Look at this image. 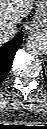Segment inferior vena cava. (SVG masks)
Returning a JSON list of instances; mask_svg holds the SVG:
<instances>
[{"label":"inferior vena cava","mask_w":47,"mask_h":129,"mask_svg":"<svg viewBox=\"0 0 47 129\" xmlns=\"http://www.w3.org/2000/svg\"><path fill=\"white\" fill-rule=\"evenodd\" d=\"M16 34V29L13 27H7V28H1L0 31V40L1 41H8L10 39H12Z\"/></svg>","instance_id":"1"}]
</instances>
